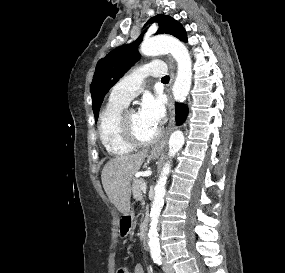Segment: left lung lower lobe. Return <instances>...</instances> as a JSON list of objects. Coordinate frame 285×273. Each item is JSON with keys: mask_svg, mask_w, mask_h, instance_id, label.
Returning a JSON list of instances; mask_svg holds the SVG:
<instances>
[{"mask_svg": "<svg viewBox=\"0 0 285 273\" xmlns=\"http://www.w3.org/2000/svg\"><path fill=\"white\" fill-rule=\"evenodd\" d=\"M175 109H176V121H177V124H181V123H183L185 121V119H186V117L188 115V109L182 103H176L175 104Z\"/></svg>", "mask_w": 285, "mask_h": 273, "instance_id": "left-lung-lower-lobe-1", "label": "left lung lower lobe"}]
</instances>
